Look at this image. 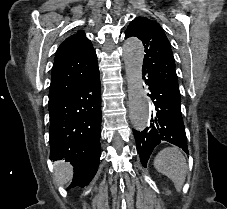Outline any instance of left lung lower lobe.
Instances as JSON below:
<instances>
[{
	"label": "left lung lower lobe",
	"mask_w": 227,
	"mask_h": 209,
	"mask_svg": "<svg viewBox=\"0 0 227 209\" xmlns=\"http://www.w3.org/2000/svg\"><path fill=\"white\" fill-rule=\"evenodd\" d=\"M149 86L155 113L149 127L143 131L133 130L141 163L146 167L154 148L169 142L182 148L188 154L187 138L180 109V95L163 88L155 79L143 75Z\"/></svg>",
	"instance_id": "obj_1"
}]
</instances>
